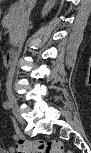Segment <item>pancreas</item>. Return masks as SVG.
<instances>
[{
	"label": "pancreas",
	"mask_w": 91,
	"mask_h": 153,
	"mask_svg": "<svg viewBox=\"0 0 91 153\" xmlns=\"http://www.w3.org/2000/svg\"><path fill=\"white\" fill-rule=\"evenodd\" d=\"M2 24L7 28V32L10 35V43L15 45L18 39L19 32L22 28V16L21 13L12 7L8 14L2 20Z\"/></svg>",
	"instance_id": "obj_1"
}]
</instances>
